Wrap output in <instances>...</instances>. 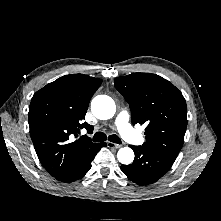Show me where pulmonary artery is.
Here are the masks:
<instances>
[{"mask_svg":"<svg viewBox=\"0 0 221 221\" xmlns=\"http://www.w3.org/2000/svg\"><path fill=\"white\" fill-rule=\"evenodd\" d=\"M130 114L127 110H121L115 118L114 126L120 135L128 142L136 145L143 143L142 136L138 135L129 123Z\"/></svg>","mask_w":221,"mask_h":221,"instance_id":"e3ab8cb5","label":"pulmonary artery"}]
</instances>
